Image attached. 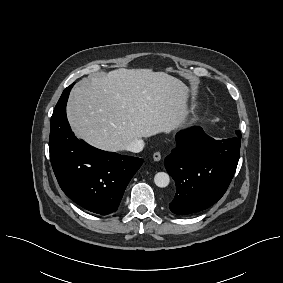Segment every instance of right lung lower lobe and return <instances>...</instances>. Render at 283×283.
<instances>
[{"instance_id":"1","label":"right lung lower lobe","mask_w":283,"mask_h":283,"mask_svg":"<svg viewBox=\"0 0 283 283\" xmlns=\"http://www.w3.org/2000/svg\"><path fill=\"white\" fill-rule=\"evenodd\" d=\"M67 87L51 117V164L63 192L88 211L107 215L118 209L125 188L143 159L94 148L72 133L66 103Z\"/></svg>"}]
</instances>
